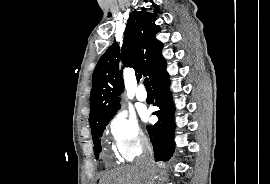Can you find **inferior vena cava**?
Instances as JSON below:
<instances>
[{"label": "inferior vena cava", "instance_id": "1", "mask_svg": "<svg viewBox=\"0 0 270 184\" xmlns=\"http://www.w3.org/2000/svg\"><path fill=\"white\" fill-rule=\"evenodd\" d=\"M137 166L143 168L148 173L154 170L153 165V150L150 143L147 140L142 142V154L137 161Z\"/></svg>", "mask_w": 270, "mask_h": 184}]
</instances>
